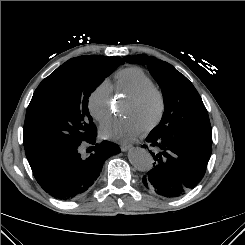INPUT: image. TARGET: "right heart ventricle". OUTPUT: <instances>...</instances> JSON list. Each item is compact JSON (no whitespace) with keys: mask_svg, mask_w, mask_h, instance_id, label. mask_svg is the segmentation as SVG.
<instances>
[{"mask_svg":"<svg viewBox=\"0 0 245 245\" xmlns=\"http://www.w3.org/2000/svg\"><path fill=\"white\" fill-rule=\"evenodd\" d=\"M150 76L139 67H127L114 75L113 88L115 93L128 97L139 87L151 83Z\"/></svg>","mask_w":245,"mask_h":245,"instance_id":"obj_1","label":"right heart ventricle"}]
</instances>
